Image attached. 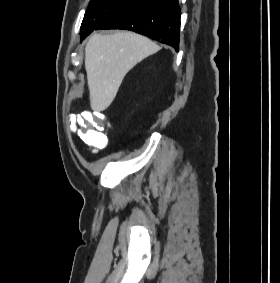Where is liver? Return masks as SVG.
I'll return each instance as SVG.
<instances>
[{
  "label": "liver",
  "instance_id": "liver-1",
  "mask_svg": "<svg viewBox=\"0 0 280 283\" xmlns=\"http://www.w3.org/2000/svg\"><path fill=\"white\" fill-rule=\"evenodd\" d=\"M159 47L147 37L123 31L94 34L85 48V69L93 111H103L114 100L127 72Z\"/></svg>",
  "mask_w": 280,
  "mask_h": 283
}]
</instances>
